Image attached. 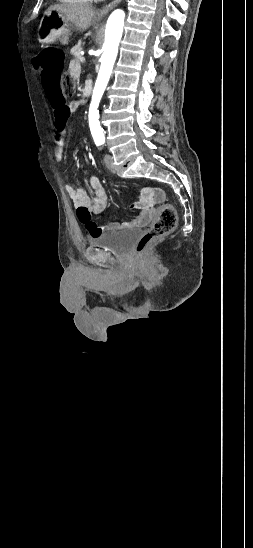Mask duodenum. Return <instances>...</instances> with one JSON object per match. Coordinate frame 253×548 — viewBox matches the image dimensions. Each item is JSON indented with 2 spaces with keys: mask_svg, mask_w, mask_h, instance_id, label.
I'll use <instances>...</instances> for the list:
<instances>
[{
  "mask_svg": "<svg viewBox=\"0 0 253 548\" xmlns=\"http://www.w3.org/2000/svg\"><path fill=\"white\" fill-rule=\"evenodd\" d=\"M92 93V85L91 83H87L83 88V94L88 97Z\"/></svg>",
  "mask_w": 253,
  "mask_h": 548,
  "instance_id": "410a0bca",
  "label": "duodenum"
}]
</instances>
